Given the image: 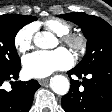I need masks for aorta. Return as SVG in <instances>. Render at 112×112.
<instances>
[{"label": "aorta", "mask_w": 112, "mask_h": 112, "mask_svg": "<svg viewBox=\"0 0 112 112\" xmlns=\"http://www.w3.org/2000/svg\"><path fill=\"white\" fill-rule=\"evenodd\" d=\"M55 40L49 32H38L34 36V44L41 49L52 48ZM50 87L56 94L66 95L70 88V82L63 75H55L50 80Z\"/></svg>", "instance_id": "aorta-1"}]
</instances>
